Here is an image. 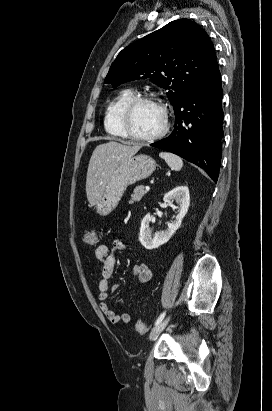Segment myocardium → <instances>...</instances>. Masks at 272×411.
<instances>
[{"instance_id":"myocardium-1","label":"myocardium","mask_w":272,"mask_h":411,"mask_svg":"<svg viewBox=\"0 0 272 411\" xmlns=\"http://www.w3.org/2000/svg\"><path fill=\"white\" fill-rule=\"evenodd\" d=\"M141 103H153L157 105L163 116V124L162 127L158 132L152 135L148 136H140L137 135L133 132V130L130 127V118L132 115V112L134 108ZM120 122L122 129L126 135V137L134 140V141H140V142H153L156 140L161 139L164 137L168 130H169V115H168V110L166 105L159 99L156 98L155 96L152 95H134L131 99L128 100V102L123 106L120 114Z\"/></svg>"}]
</instances>
